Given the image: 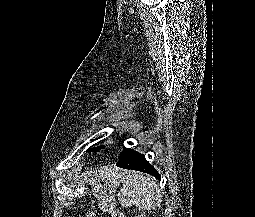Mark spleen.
Masks as SVG:
<instances>
[{
	"instance_id": "obj_1",
	"label": "spleen",
	"mask_w": 255,
	"mask_h": 217,
	"mask_svg": "<svg viewBox=\"0 0 255 217\" xmlns=\"http://www.w3.org/2000/svg\"><path fill=\"white\" fill-rule=\"evenodd\" d=\"M111 177L123 184L118 198L121 204L128 207L135 205L143 210H153L162 202L158 185L148 176L138 172H127L113 169Z\"/></svg>"
}]
</instances>
